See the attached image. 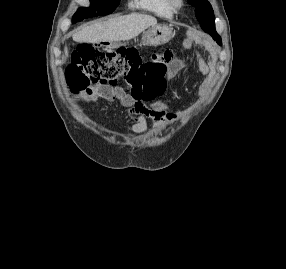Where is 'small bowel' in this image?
<instances>
[{
    "mask_svg": "<svg viewBox=\"0 0 286 269\" xmlns=\"http://www.w3.org/2000/svg\"><path fill=\"white\" fill-rule=\"evenodd\" d=\"M192 41L187 40L186 47H191ZM203 47L208 53V59L204 58L202 54L197 53L196 65L198 73L205 77L201 82L199 90L205 92L210 86L213 80V68L214 65L211 61L213 52L207 44ZM190 62L181 57L170 58L169 72L175 74L180 69L188 66ZM106 97L118 99L125 107L126 114L132 121V132L134 134H142L147 130L148 120L151 119L161 126H172L180 121L182 115L178 113L169 112L165 109V103L163 101H155L152 103H146L139 100L140 97L126 94L125 92L116 89L111 90L105 94Z\"/></svg>",
    "mask_w": 286,
    "mask_h": 269,
    "instance_id": "1",
    "label": "small bowel"
}]
</instances>
